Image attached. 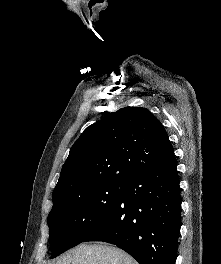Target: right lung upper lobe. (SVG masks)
Here are the masks:
<instances>
[{"label":"right lung upper lobe","instance_id":"right-lung-upper-lobe-1","mask_svg":"<svg viewBox=\"0 0 221 264\" xmlns=\"http://www.w3.org/2000/svg\"><path fill=\"white\" fill-rule=\"evenodd\" d=\"M174 158L159 120L147 109L125 107L89 126L72 146L58 183L53 207L69 196L155 168Z\"/></svg>","mask_w":221,"mask_h":264}]
</instances>
